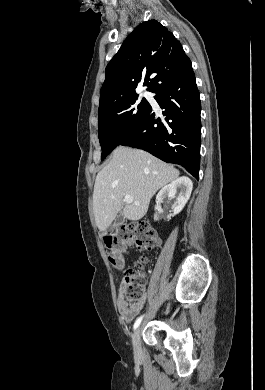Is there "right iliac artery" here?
<instances>
[{"label": "right iliac artery", "instance_id": "right-iliac-artery-1", "mask_svg": "<svg viewBox=\"0 0 265 390\" xmlns=\"http://www.w3.org/2000/svg\"><path fill=\"white\" fill-rule=\"evenodd\" d=\"M144 315L140 316L139 318H137V320L135 321L134 323V326H133V329L136 330L138 328V326L140 325L142 319H143Z\"/></svg>", "mask_w": 265, "mask_h": 390}]
</instances>
